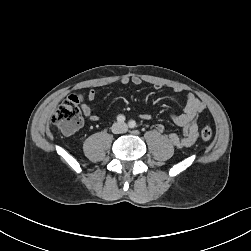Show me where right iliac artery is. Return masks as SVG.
I'll list each match as a JSON object with an SVG mask.
<instances>
[{"label":"right iliac artery","instance_id":"right-iliac-artery-1","mask_svg":"<svg viewBox=\"0 0 251 251\" xmlns=\"http://www.w3.org/2000/svg\"><path fill=\"white\" fill-rule=\"evenodd\" d=\"M117 121L120 123H123L125 121V116L124 115H118L117 116Z\"/></svg>","mask_w":251,"mask_h":251}]
</instances>
